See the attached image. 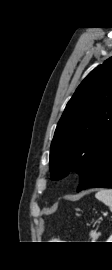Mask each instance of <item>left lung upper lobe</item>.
Returning <instances> with one entry per match:
<instances>
[{
	"label": "left lung upper lobe",
	"instance_id": "left-lung-upper-lobe-1",
	"mask_svg": "<svg viewBox=\"0 0 112 270\" xmlns=\"http://www.w3.org/2000/svg\"><path fill=\"white\" fill-rule=\"evenodd\" d=\"M111 146L112 57L82 81L67 103L51 143V178L76 171L84 181Z\"/></svg>",
	"mask_w": 112,
	"mask_h": 270
}]
</instances>
